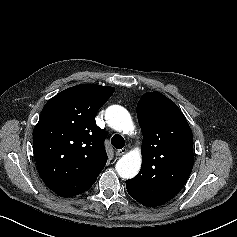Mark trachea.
<instances>
[{
  "instance_id": "obj_1",
  "label": "trachea",
  "mask_w": 237,
  "mask_h": 237,
  "mask_svg": "<svg viewBox=\"0 0 237 237\" xmlns=\"http://www.w3.org/2000/svg\"><path fill=\"white\" fill-rule=\"evenodd\" d=\"M111 144L116 148V149H122L125 145V141L124 138L119 135L116 134L112 137L111 139Z\"/></svg>"
}]
</instances>
